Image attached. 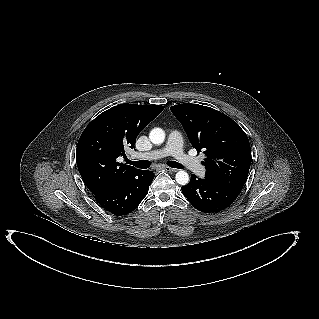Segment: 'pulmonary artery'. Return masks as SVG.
<instances>
[{
	"label": "pulmonary artery",
	"instance_id": "pulmonary-artery-1",
	"mask_svg": "<svg viewBox=\"0 0 319 319\" xmlns=\"http://www.w3.org/2000/svg\"><path fill=\"white\" fill-rule=\"evenodd\" d=\"M169 155L175 157L179 164L195 174L200 176L205 174V168L200 161L184 152L182 136L178 131H172L169 134L165 147L144 153L141 156L145 159H159Z\"/></svg>",
	"mask_w": 319,
	"mask_h": 319
}]
</instances>
